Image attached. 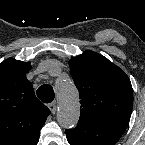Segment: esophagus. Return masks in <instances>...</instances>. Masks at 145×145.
Segmentation results:
<instances>
[{"label":"esophagus","mask_w":145,"mask_h":145,"mask_svg":"<svg viewBox=\"0 0 145 145\" xmlns=\"http://www.w3.org/2000/svg\"><path fill=\"white\" fill-rule=\"evenodd\" d=\"M48 108L50 109L52 114L56 113L57 107H56L55 102H52V103L48 104Z\"/></svg>","instance_id":"34e87169"}]
</instances>
